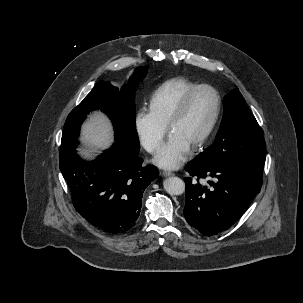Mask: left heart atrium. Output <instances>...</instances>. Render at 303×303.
<instances>
[{
  "instance_id": "39dd6f15",
  "label": "left heart atrium",
  "mask_w": 303,
  "mask_h": 303,
  "mask_svg": "<svg viewBox=\"0 0 303 303\" xmlns=\"http://www.w3.org/2000/svg\"><path fill=\"white\" fill-rule=\"evenodd\" d=\"M190 151L191 145L180 135L171 132L153 162L164 169H177L187 159Z\"/></svg>"
}]
</instances>
